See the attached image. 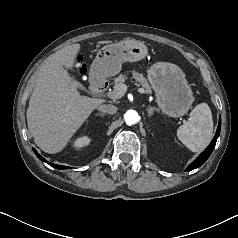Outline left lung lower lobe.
Returning a JSON list of instances; mask_svg holds the SVG:
<instances>
[{"label":"left lung lower lobe","instance_id":"0a47b994","mask_svg":"<svg viewBox=\"0 0 238 238\" xmlns=\"http://www.w3.org/2000/svg\"><path fill=\"white\" fill-rule=\"evenodd\" d=\"M220 129H221V118H219L217 131L210 145L188 166L187 168L188 171H191L193 169L200 167L208 159V157L211 155L215 147L217 138L220 134Z\"/></svg>","mask_w":238,"mask_h":238}]
</instances>
